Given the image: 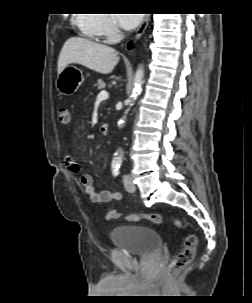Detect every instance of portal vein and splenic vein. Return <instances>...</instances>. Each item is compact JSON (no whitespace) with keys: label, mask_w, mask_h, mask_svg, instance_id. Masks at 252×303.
Returning a JSON list of instances; mask_svg holds the SVG:
<instances>
[{"label":"portal vein and splenic vein","mask_w":252,"mask_h":303,"mask_svg":"<svg viewBox=\"0 0 252 303\" xmlns=\"http://www.w3.org/2000/svg\"><path fill=\"white\" fill-rule=\"evenodd\" d=\"M108 97H109V93L106 90H102L97 96V98L100 100H105Z\"/></svg>","instance_id":"18ae733b"}]
</instances>
